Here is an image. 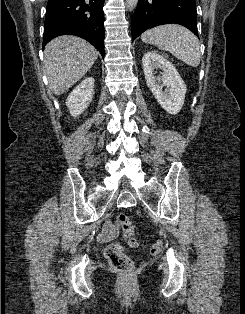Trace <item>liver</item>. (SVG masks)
I'll use <instances>...</instances> for the list:
<instances>
[{"label":"liver","instance_id":"obj_1","mask_svg":"<svg viewBox=\"0 0 245 314\" xmlns=\"http://www.w3.org/2000/svg\"><path fill=\"white\" fill-rule=\"evenodd\" d=\"M99 52L80 37L65 35L51 40L44 50V72L49 88L61 95L95 63Z\"/></svg>","mask_w":245,"mask_h":314}]
</instances>
